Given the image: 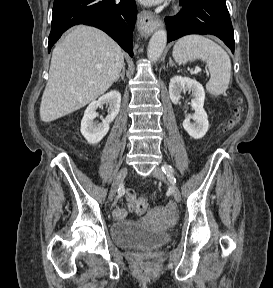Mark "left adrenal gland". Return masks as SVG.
Masks as SVG:
<instances>
[{
	"label": "left adrenal gland",
	"mask_w": 273,
	"mask_h": 288,
	"mask_svg": "<svg viewBox=\"0 0 273 288\" xmlns=\"http://www.w3.org/2000/svg\"><path fill=\"white\" fill-rule=\"evenodd\" d=\"M169 66H170V67H173V66H175V64L173 63V61H172V59H171V58H169Z\"/></svg>",
	"instance_id": "a2214340"
}]
</instances>
